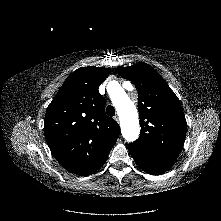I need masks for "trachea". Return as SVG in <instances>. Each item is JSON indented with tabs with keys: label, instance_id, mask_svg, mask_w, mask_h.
Returning a JSON list of instances; mask_svg holds the SVG:
<instances>
[{
	"label": "trachea",
	"instance_id": "3493384b",
	"mask_svg": "<svg viewBox=\"0 0 221 221\" xmlns=\"http://www.w3.org/2000/svg\"><path fill=\"white\" fill-rule=\"evenodd\" d=\"M106 114L108 116H114L115 115V109L112 105H108L106 108Z\"/></svg>",
	"mask_w": 221,
	"mask_h": 221
}]
</instances>
